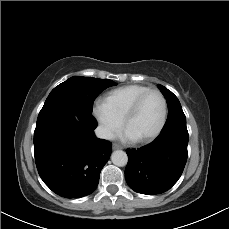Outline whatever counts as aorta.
I'll list each match as a JSON object with an SVG mask.
<instances>
[{"label": "aorta", "mask_w": 229, "mask_h": 229, "mask_svg": "<svg viewBox=\"0 0 229 229\" xmlns=\"http://www.w3.org/2000/svg\"><path fill=\"white\" fill-rule=\"evenodd\" d=\"M111 160L114 165L123 167L128 162L127 154L122 150L114 151L111 155Z\"/></svg>", "instance_id": "762f6f07"}]
</instances>
